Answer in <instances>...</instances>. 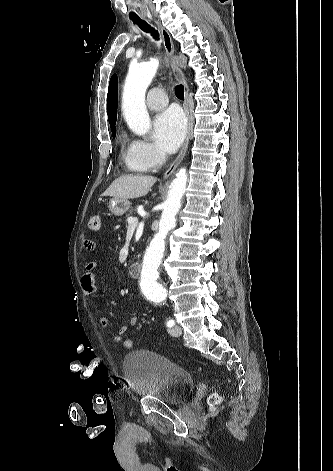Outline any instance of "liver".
Instances as JSON below:
<instances>
[{
  "label": "liver",
  "instance_id": "6515ba94",
  "mask_svg": "<svg viewBox=\"0 0 333 471\" xmlns=\"http://www.w3.org/2000/svg\"><path fill=\"white\" fill-rule=\"evenodd\" d=\"M156 178L153 176L124 175L115 179L103 196L120 199H134L147 195Z\"/></svg>",
  "mask_w": 333,
  "mask_h": 471
}]
</instances>
